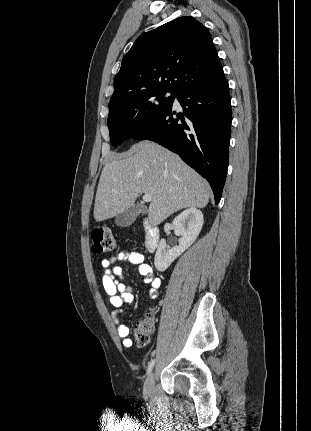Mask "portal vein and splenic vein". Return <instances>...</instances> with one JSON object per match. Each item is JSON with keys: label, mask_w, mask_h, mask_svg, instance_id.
<instances>
[{"label": "portal vein and splenic vein", "mask_w": 311, "mask_h": 431, "mask_svg": "<svg viewBox=\"0 0 311 431\" xmlns=\"http://www.w3.org/2000/svg\"><path fill=\"white\" fill-rule=\"evenodd\" d=\"M142 200H143V202H152L151 196H146V194H145V196H142Z\"/></svg>", "instance_id": "obj_1"}]
</instances>
